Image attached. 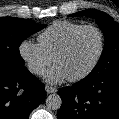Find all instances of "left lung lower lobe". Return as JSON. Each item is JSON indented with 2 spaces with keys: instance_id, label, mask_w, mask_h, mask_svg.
Listing matches in <instances>:
<instances>
[{
  "instance_id": "1",
  "label": "left lung lower lobe",
  "mask_w": 119,
  "mask_h": 119,
  "mask_svg": "<svg viewBox=\"0 0 119 119\" xmlns=\"http://www.w3.org/2000/svg\"><path fill=\"white\" fill-rule=\"evenodd\" d=\"M58 94L62 99L58 119H119V71L89 74Z\"/></svg>"
}]
</instances>
